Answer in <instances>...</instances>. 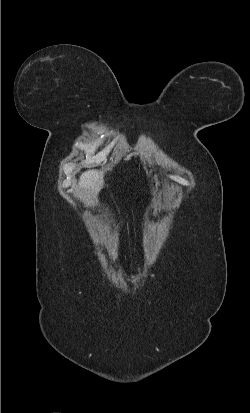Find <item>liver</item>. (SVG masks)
<instances>
[{
  "label": "liver",
  "mask_w": 250,
  "mask_h": 413,
  "mask_svg": "<svg viewBox=\"0 0 250 413\" xmlns=\"http://www.w3.org/2000/svg\"><path fill=\"white\" fill-rule=\"evenodd\" d=\"M103 186L102 172L89 170L80 176L79 187L85 190V195L89 200L93 199Z\"/></svg>",
  "instance_id": "6515ba94"
}]
</instances>
